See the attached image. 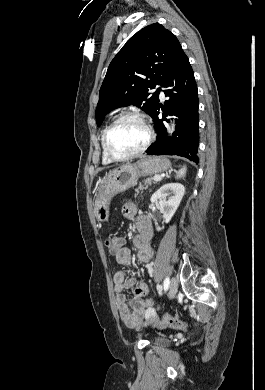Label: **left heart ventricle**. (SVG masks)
Listing matches in <instances>:
<instances>
[{"mask_svg":"<svg viewBox=\"0 0 265 390\" xmlns=\"http://www.w3.org/2000/svg\"><path fill=\"white\" fill-rule=\"evenodd\" d=\"M146 137V130L139 121L125 119L111 131L109 147L114 154L124 156L139 149Z\"/></svg>","mask_w":265,"mask_h":390,"instance_id":"b2bd125f","label":"left heart ventricle"}]
</instances>
